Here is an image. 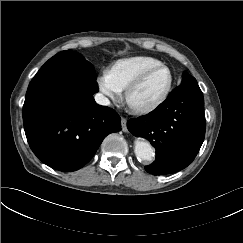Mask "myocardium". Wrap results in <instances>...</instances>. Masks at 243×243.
<instances>
[{"label":"myocardium","mask_w":243,"mask_h":243,"mask_svg":"<svg viewBox=\"0 0 243 243\" xmlns=\"http://www.w3.org/2000/svg\"><path fill=\"white\" fill-rule=\"evenodd\" d=\"M158 69H165L167 70L168 74H169V80H168V84L164 90V92L154 101L144 104V105H135L132 103L131 101V97L133 95V93L143 84V82L145 81V79L154 71L158 70ZM173 82H174V78H173V73L171 71V69L164 65V64H159L156 66H152L146 70H144L142 73H140L130 84L129 86L126 88L125 90V94H124V99L125 102L127 104V106L134 112L136 113H148L151 112L155 109H157L158 107H160L169 97L171 91H172V87H173Z\"/></svg>","instance_id":"obj_1"}]
</instances>
